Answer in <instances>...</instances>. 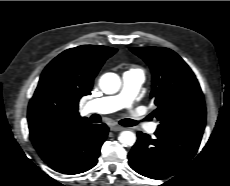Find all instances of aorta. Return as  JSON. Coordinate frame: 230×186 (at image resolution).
Here are the masks:
<instances>
[{
    "instance_id": "aorta-1",
    "label": "aorta",
    "mask_w": 230,
    "mask_h": 186,
    "mask_svg": "<svg viewBox=\"0 0 230 186\" xmlns=\"http://www.w3.org/2000/svg\"><path fill=\"white\" fill-rule=\"evenodd\" d=\"M99 87L105 94H115L121 87V79L115 73H105L100 77ZM118 140L123 146H133L136 142V134L125 130L119 134Z\"/></svg>"
}]
</instances>
